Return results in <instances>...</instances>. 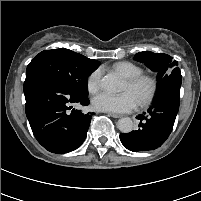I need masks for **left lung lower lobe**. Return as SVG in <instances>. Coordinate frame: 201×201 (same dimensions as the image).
Returning <instances> with one entry per match:
<instances>
[{
    "label": "left lung lower lobe",
    "instance_id": "obj_1",
    "mask_svg": "<svg viewBox=\"0 0 201 201\" xmlns=\"http://www.w3.org/2000/svg\"><path fill=\"white\" fill-rule=\"evenodd\" d=\"M180 91L170 89L156 97L147 113L138 115V129L120 134L122 144L130 151H151L169 137L179 110Z\"/></svg>",
    "mask_w": 201,
    "mask_h": 201
}]
</instances>
